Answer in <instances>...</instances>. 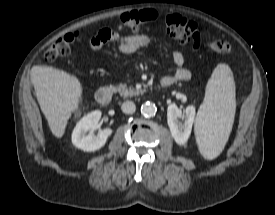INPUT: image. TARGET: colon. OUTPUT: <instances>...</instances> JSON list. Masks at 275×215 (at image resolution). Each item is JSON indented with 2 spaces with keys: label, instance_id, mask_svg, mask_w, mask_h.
Segmentation results:
<instances>
[{
  "label": "colon",
  "instance_id": "1",
  "mask_svg": "<svg viewBox=\"0 0 275 215\" xmlns=\"http://www.w3.org/2000/svg\"><path fill=\"white\" fill-rule=\"evenodd\" d=\"M121 21L127 29L132 31H138L152 23L161 22L167 32L182 43L195 39L199 35L198 26L179 15L160 16L155 11L145 10L126 13L121 17ZM77 38L78 33H71L56 40L46 50L44 54L45 60L53 62L65 57ZM207 47L209 50L219 54H227L230 51L229 43L224 40H212L207 44Z\"/></svg>",
  "mask_w": 275,
  "mask_h": 215
}]
</instances>
